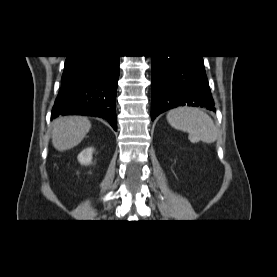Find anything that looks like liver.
Segmentation results:
<instances>
[{
    "label": "liver",
    "mask_w": 277,
    "mask_h": 277,
    "mask_svg": "<svg viewBox=\"0 0 277 277\" xmlns=\"http://www.w3.org/2000/svg\"><path fill=\"white\" fill-rule=\"evenodd\" d=\"M91 128L86 117L64 116L53 121L52 144L58 151L77 146Z\"/></svg>",
    "instance_id": "1"
}]
</instances>
